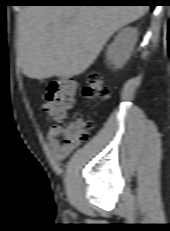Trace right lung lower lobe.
<instances>
[{
    "mask_svg": "<svg viewBox=\"0 0 170 231\" xmlns=\"http://www.w3.org/2000/svg\"><path fill=\"white\" fill-rule=\"evenodd\" d=\"M32 5H148L154 8L157 0H27Z\"/></svg>",
    "mask_w": 170,
    "mask_h": 231,
    "instance_id": "right-lung-lower-lobe-1",
    "label": "right lung lower lobe"
}]
</instances>
